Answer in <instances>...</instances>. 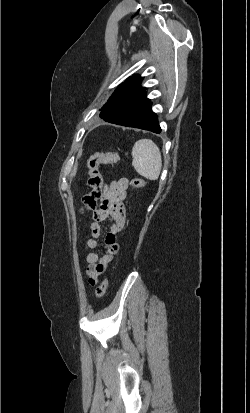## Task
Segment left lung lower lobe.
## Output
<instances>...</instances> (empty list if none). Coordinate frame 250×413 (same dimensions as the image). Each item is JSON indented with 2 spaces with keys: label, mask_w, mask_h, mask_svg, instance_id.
<instances>
[{
  "label": "left lung lower lobe",
  "mask_w": 250,
  "mask_h": 413,
  "mask_svg": "<svg viewBox=\"0 0 250 413\" xmlns=\"http://www.w3.org/2000/svg\"><path fill=\"white\" fill-rule=\"evenodd\" d=\"M151 107V100L146 97V88L139 86L123 99L118 112L102 117V119L117 125L160 133L157 115Z\"/></svg>",
  "instance_id": "left-lung-lower-lobe-1"
}]
</instances>
